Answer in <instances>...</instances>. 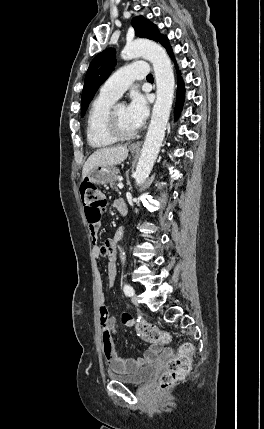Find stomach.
I'll return each instance as SVG.
<instances>
[{"label": "stomach", "mask_w": 264, "mask_h": 429, "mask_svg": "<svg viewBox=\"0 0 264 429\" xmlns=\"http://www.w3.org/2000/svg\"><path fill=\"white\" fill-rule=\"evenodd\" d=\"M132 152H135L132 150ZM117 169L114 165L98 166L93 169L86 178L95 184H106L115 175Z\"/></svg>", "instance_id": "stomach-1"}]
</instances>
